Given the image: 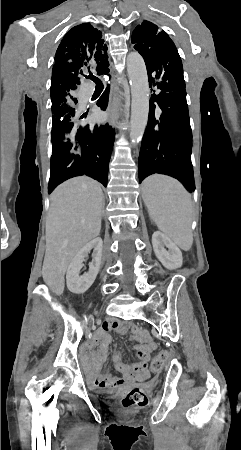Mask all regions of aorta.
I'll use <instances>...</instances> for the list:
<instances>
[{
	"label": "aorta",
	"instance_id": "obj_1",
	"mask_svg": "<svg viewBox=\"0 0 241 450\" xmlns=\"http://www.w3.org/2000/svg\"><path fill=\"white\" fill-rule=\"evenodd\" d=\"M127 71L131 87L130 139L139 143L145 133L149 114V84L145 62L138 52L127 57Z\"/></svg>",
	"mask_w": 241,
	"mask_h": 450
}]
</instances>
